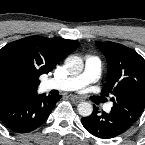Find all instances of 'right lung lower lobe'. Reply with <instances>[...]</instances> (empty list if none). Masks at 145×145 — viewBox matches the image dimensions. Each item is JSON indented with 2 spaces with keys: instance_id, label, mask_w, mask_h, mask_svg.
I'll use <instances>...</instances> for the list:
<instances>
[{
  "instance_id": "1",
  "label": "right lung lower lobe",
  "mask_w": 145,
  "mask_h": 145,
  "mask_svg": "<svg viewBox=\"0 0 145 145\" xmlns=\"http://www.w3.org/2000/svg\"><path fill=\"white\" fill-rule=\"evenodd\" d=\"M61 96L34 95L0 103V121L11 131L27 133L39 128Z\"/></svg>"
}]
</instances>
